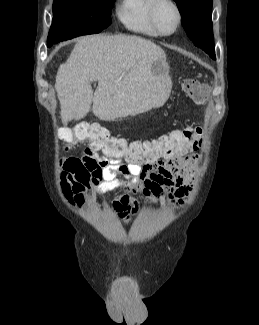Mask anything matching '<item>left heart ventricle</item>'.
Returning a JSON list of instances; mask_svg holds the SVG:
<instances>
[{
  "instance_id": "obj_1",
  "label": "left heart ventricle",
  "mask_w": 259,
  "mask_h": 325,
  "mask_svg": "<svg viewBox=\"0 0 259 325\" xmlns=\"http://www.w3.org/2000/svg\"><path fill=\"white\" fill-rule=\"evenodd\" d=\"M156 20L162 31H172L177 23V13L175 8L170 3H161L156 11Z\"/></svg>"
}]
</instances>
